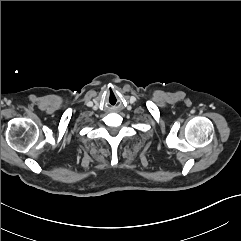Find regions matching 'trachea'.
<instances>
[{
  "label": "trachea",
  "instance_id": "3493384b",
  "mask_svg": "<svg viewBox=\"0 0 241 241\" xmlns=\"http://www.w3.org/2000/svg\"><path fill=\"white\" fill-rule=\"evenodd\" d=\"M108 102H109V104H111V105H114V104H116V102H117V97L115 96V94H110V96L108 97Z\"/></svg>",
  "mask_w": 241,
  "mask_h": 241
}]
</instances>
